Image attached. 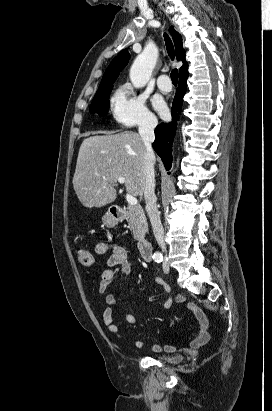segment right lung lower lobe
I'll return each mask as SVG.
<instances>
[{"instance_id": "obj_1", "label": "right lung lower lobe", "mask_w": 272, "mask_h": 411, "mask_svg": "<svg viewBox=\"0 0 272 411\" xmlns=\"http://www.w3.org/2000/svg\"><path fill=\"white\" fill-rule=\"evenodd\" d=\"M187 75L179 77V85L173 100L172 106V121L170 123H161L155 129V141L153 148L155 152L161 157L166 170L171 168L172 164V143L176 131L178 114L182 109V100L187 88Z\"/></svg>"}]
</instances>
